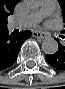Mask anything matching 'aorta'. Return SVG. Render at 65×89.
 Returning <instances> with one entry per match:
<instances>
[{"mask_svg":"<svg viewBox=\"0 0 65 89\" xmlns=\"http://www.w3.org/2000/svg\"><path fill=\"white\" fill-rule=\"evenodd\" d=\"M40 0H29L27 6L30 9H36L40 6ZM42 50L45 54L52 55L58 51V43L54 38H45L42 42Z\"/></svg>","mask_w":65,"mask_h":89,"instance_id":"1","label":"aorta"}]
</instances>
